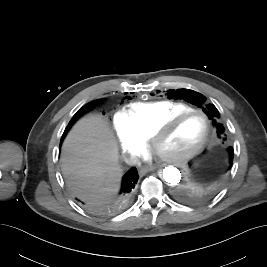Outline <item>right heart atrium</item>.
Instances as JSON below:
<instances>
[{"label": "right heart atrium", "instance_id": "d8ad5b80", "mask_svg": "<svg viewBox=\"0 0 267 267\" xmlns=\"http://www.w3.org/2000/svg\"><path fill=\"white\" fill-rule=\"evenodd\" d=\"M113 127L123 153L130 161L135 162L146 149V139L131 126L124 112L114 114Z\"/></svg>", "mask_w": 267, "mask_h": 267}]
</instances>
